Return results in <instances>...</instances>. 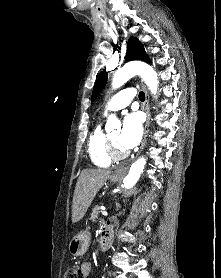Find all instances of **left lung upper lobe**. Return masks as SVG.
Here are the masks:
<instances>
[{
    "instance_id": "1",
    "label": "left lung upper lobe",
    "mask_w": 221,
    "mask_h": 278,
    "mask_svg": "<svg viewBox=\"0 0 221 278\" xmlns=\"http://www.w3.org/2000/svg\"><path fill=\"white\" fill-rule=\"evenodd\" d=\"M126 60H142L145 62L150 63V59L148 55L145 52V49L143 45L139 42L137 38H130L128 42V47H127V53H126ZM108 78V73L106 71H102L94 85L93 92H92V98L91 102H93L97 96L100 94L102 89L104 88Z\"/></svg>"
}]
</instances>
